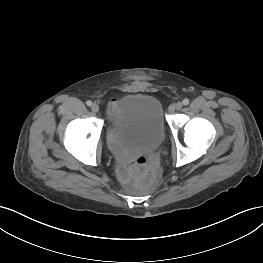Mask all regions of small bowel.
Returning a JSON list of instances; mask_svg holds the SVG:
<instances>
[{"mask_svg":"<svg viewBox=\"0 0 263 263\" xmlns=\"http://www.w3.org/2000/svg\"><path fill=\"white\" fill-rule=\"evenodd\" d=\"M117 106V101L114 99L109 104V111L112 113ZM117 157L120 163L119 176L124 182H129L134 176H136V171L134 170V165H129L133 158L119 150H117Z\"/></svg>","mask_w":263,"mask_h":263,"instance_id":"c3829d8e","label":"small bowel"}]
</instances>
